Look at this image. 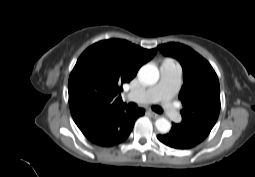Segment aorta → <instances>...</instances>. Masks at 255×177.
<instances>
[{
	"mask_svg": "<svg viewBox=\"0 0 255 177\" xmlns=\"http://www.w3.org/2000/svg\"><path fill=\"white\" fill-rule=\"evenodd\" d=\"M138 79L144 85H153L159 80V70L155 65H143L138 72ZM155 126L160 133H168L171 129V123L166 118H158Z\"/></svg>",
	"mask_w": 255,
	"mask_h": 177,
	"instance_id": "762f6f07",
	"label": "aorta"
}]
</instances>
